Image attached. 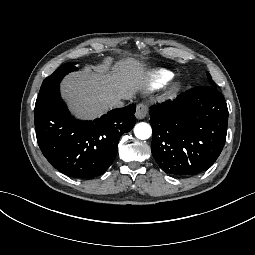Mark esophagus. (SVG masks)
Segmentation results:
<instances>
[{
	"mask_svg": "<svg viewBox=\"0 0 255 255\" xmlns=\"http://www.w3.org/2000/svg\"><path fill=\"white\" fill-rule=\"evenodd\" d=\"M147 114H148V106L144 103L138 104L136 108V118L139 120L144 119Z\"/></svg>",
	"mask_w": 255,
	"mask_h": 255,
	"instance_id": "1",
	"label": "esophagus"
}]
</instances>
